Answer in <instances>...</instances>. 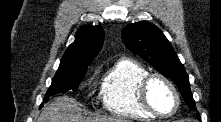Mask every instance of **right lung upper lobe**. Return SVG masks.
I'll use <instances>...</instances> for the list:
<instances>
[{
  "instance_id": "obj_1",
  "label": "right lung upper lobe",
  "mask_w": 221,
  "mask_h": 122,
  "mask_svg": "<svg viewBox=\"0 0 221 122\" xmlns=\"http://www.w3.org/2000/svg\"><path fill=\"white\" fill-rule=\"evenodd\" d=\"M104 31L99 26H84L77 30L75 41L65 51L58 70L87 68L100 51Z\"/></svg>"
}]
</instances>
